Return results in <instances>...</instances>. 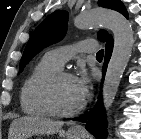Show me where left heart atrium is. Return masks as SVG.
<instances>
[{
  "label": "left heart atrium",
  "instance_id": "left-heart-atrium-1",
  "mask_svg": "<svg viewBox=\"0 0 141 139\" xmlns=\"http://www.w3.org/2000/svg\"><path fill=\"white\" fill-rule=\"evenodd\" d=\"M74 80L78 94L84 100L89 91L90 77L87 72L82 71L78 76L74 77Z\"/></svg>",
  "mask_w": 141,
  "mask_h": 139
}]
</instances>
